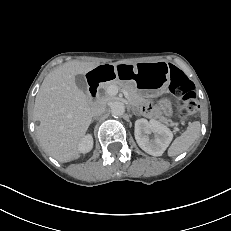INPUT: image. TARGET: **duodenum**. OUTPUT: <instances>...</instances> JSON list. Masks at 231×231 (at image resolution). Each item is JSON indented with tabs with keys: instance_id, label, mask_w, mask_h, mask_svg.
I'll return each mask as SVG.
<instances>
[{
	"instance_id": "obj_1",
	"label": "duodenum",
	"mask_w": 231,
	"mask_h": 231,
	"mask_svg": "<svg viewBox=\"0 0 231 231\" xmlns=\"http://www.w3.org/2000/svg\"><path fill=\"white\" fill-rule=\"evenodd\" d=\"M109 69L102 67L101 69L95 71L93 76L89 79V97H97V87L100 82L105 81L108 78Z\"/></svg>"
}]
</instances>
